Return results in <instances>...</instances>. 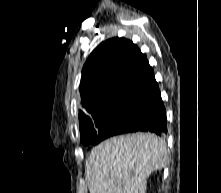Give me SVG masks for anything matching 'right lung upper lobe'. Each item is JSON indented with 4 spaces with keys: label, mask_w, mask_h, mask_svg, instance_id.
Wrapping results in <instances>:
<instances>
[{
    "label": "right lung upper lobe",
    "mask_w": 221,
    "mask_h": 193,
    "mask_svg": "<svg viewBox=\"0 0 221 193\" xmlns=\"http://www.w3.org/2000/svg\"><path fill=\"white\" fill-rule=\"evenodd\" d=\"M158 90L153 70L140 49L125 38L101 43L87 59L80 83L79 119L123 99L150 101Z\"/></svg>",
    "instance_id": "cb5924a9"
}]
</instances>
